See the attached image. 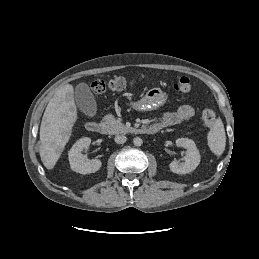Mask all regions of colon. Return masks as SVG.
<instances>
[{
    "label": "colon",
    "instance_id": "colon-1",
    "mask_svg": "<svg viewBox=\"0 0 259 259\" xmlns=\"http://www.w3.org/2000/svg\"><path fill=\"white\" fill-rule=\"evenodd\" d=\"M130 86V82L125 78L116 77L111 80H96L92 83V90L97 94H104L106 92H121ZM173 87L176 91L186 93L191 90V82L187 77H180L177 79ZM215 121V113L212 109H204L202 112V122L204 127L210 128Z\"/></svg>",
    "mask_w": 259,
    "mask_h": 259
}]
</instances>
